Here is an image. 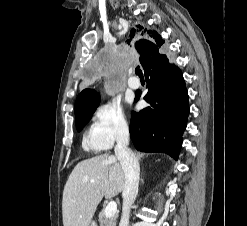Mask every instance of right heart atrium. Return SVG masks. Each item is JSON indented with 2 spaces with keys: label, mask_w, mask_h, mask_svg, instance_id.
<instances>
[{
  "label": "right heart atrium",
  "mask_w": 247,
  "mask_h": 226,
  "mask_svg": "<svg viewBox=\"0 0 247 226\" xmlns=\"http://www.w3.org/2000/svg\"><path fill=\"white\" fill-rule=\"evenodd\" d=\"M130 125L121 108L106 105L98 108L86 136L88 147L109 150L116 143L127 139Z\"/></svg>",
  "instance_id": "1"
}]
</instances>
